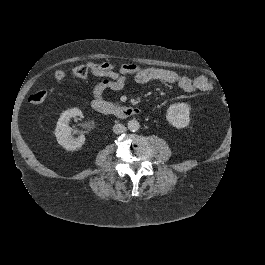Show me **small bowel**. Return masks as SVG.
Returning <instances> with one entry per match:
<instances>
[{"mask_svg":"<svg viewBox=\"0 0 265 265\" xmlns=\"http://www.w3.org/2000/svg\"><path fill=\"white\" fill-rule=\"evenodd\" d=\"M91 74L103 79L92 88L95 99L102 100L104 92L108 89L120 91L124 88L126 78L129 74L134 75V80L138 84H145L151 81H160L169 84H176L185 92L196 90L207 92L213 88L212 82L205 76L199 75L194 78L180 75L175 71L161 68H141L136 64H114L94 63L87 64Z\"/></svg>","mask_w":265,"mask_h":265,"instance_id":"c3829d8e","label":"small bowel"}]
</instances>
